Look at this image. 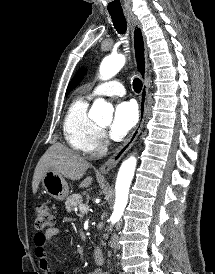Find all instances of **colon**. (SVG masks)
Here are the masks:
<instances>
[{
    "mask_svg": "<svg viewBox=\"0 0 215 274\" xmlns=\"http://www.w3.org/2000/svg\"><path fill=\"white\" fill-rule=\"evenodd\" d=\"M54 221L50 207L46 203H39L36 206L35 229L41 232L53 226Z\"/></svg>",
    "mask_w": 215,
    "mask_h": 274,
    "instance_id": "colon-1",
    "label": "colon"
}]
</instances>
